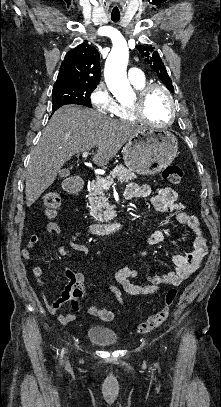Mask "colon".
Wrapping results in <instances>:
<instances>
[{"label":"colon","mask_w":221,"mask_h":407,"mask_svg":"<svg viewBox=\"0 0 221 407\" xmlns=\"http://www.w3.org/2000/svg\"><path fill=\"white\" fill-rule=\"evenodd\" d=\"M162 177L166 182L178 184L183 178V169L177 163H170L164 168ZM60 200V194L57 191H46L44 193L43 205L45 213L50 219L48 226L52 229L56 226L52 219L60 207ZM68 290L73 296V301L71 302L72 307L77 310L78 301L83 298V285L79 282H74L68 286ZM176 297L177 290L175 288H169L164 295V307L151 315L146 321L138 324L137 332L140 334H146L163 324L170 316V309L174 304ZM92 313L106 322L111 321L114 318L113 312L107 309L92 308Z\"/></svg>","instance_id":"5ec220e1"}]
</instances>
